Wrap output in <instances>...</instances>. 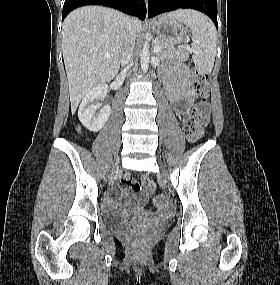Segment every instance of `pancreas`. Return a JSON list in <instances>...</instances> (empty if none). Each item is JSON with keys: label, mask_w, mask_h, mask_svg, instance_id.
I'll return each mask as SVG.
<instances>
[{"label": "pancreas", "mask_w": 280, "mask_h": 285, "mask_svg": "<svg viewBox=\"0 0 280 285\" xmlns=\"http://www.w3.org/2000/svg\"><path fill=\"white\" fill-rule=\"evenodd\" d=\"M156 46L161 47V51L157 53L161 60L177 59L178 61H186L189 58V53L185 46L176 48L172 43L161 38L157 39Z\"/></svg>", "instance_id": "obj_1"}]
</instances>
